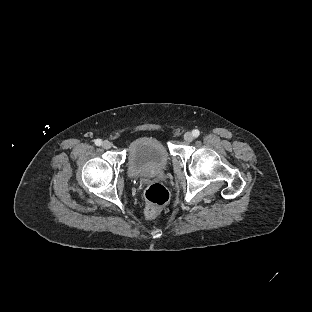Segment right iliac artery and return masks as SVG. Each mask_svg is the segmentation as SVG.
<instances>
[{"mask_svg":"<svg viewBox=\"0 0 312 312\" xmlns=\"http://www.w3.org/2000/svg\"><path fill=\"white\" fill-rule=\"evenodd\" d=\"M95 144H96L97 146H100V145L102 144V140H101V139H96V140H95Z\"/></svg>","mask_w":312,"mask_h":312,"instance_id":"obj_1","label":"right iliac artery"}]
</instances>
